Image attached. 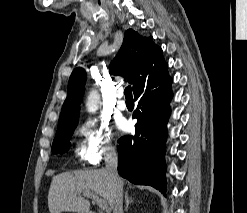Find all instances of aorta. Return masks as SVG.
I'll return each mask as SVG.
<instances>
[{
	"label": "aorta",
	"mask_w": 247,
	"mask_h": 213,
	"mask_svg": "<svg viewBox=\"0 0 247 213\" xmlns=\"http://www.w3.org/2000/svg\"><path fill=\"white\" fill-rule=\"evenodd\" d=\"M100 101L99 92L96 89H92L88 94L86 107L89 112H95L98 109V104Z\"/></svg>",
	"instance_id": "1"
}]
</instances>
